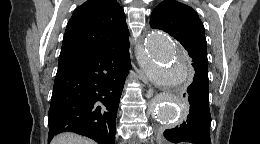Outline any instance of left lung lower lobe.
I'll return each instance as SVG.
<instances>
[{"label": "left lung lower lobe", "mask_w": 260, "mask_h": 144, "mask_svg": "<svg viewBox=\"0 0 260 144\" xmlns=\"http://www.w3.org/2000/svg\"><path fill=\"white\" fill-rule=\"evenodd\" d=\"M192 58L195 75L193 82L184 91L183 97L189 102V115L184 121L172 129H167L164 136L173 143L191 142L201 144H211L210 124L211 114L209 110V80H208V60L197 54H189Z\"/></svg>", "instance_id": "left-lung-lower-lobe-1"}]
</instances>
